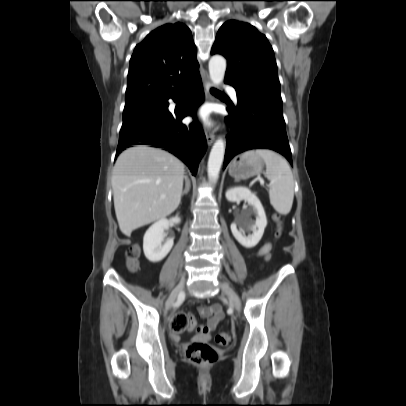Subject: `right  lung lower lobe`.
I'll use <instances>...</instances> for the list:
<instances>
[{"label": "right lung lower lobe", "mask_w": 406, "mask_h": 406, "mask_svg": "<svg viewBox=\"0 0 406 406\" xmlns=\"http://www.w3.org/2000/svg\"><path fill=\"white\" fill-rule=\"evenodd\" d=\"M185 90L189 92L187 101L180 111H168V99L176 100L181 90L166 98L167 111L155 123L120 133L117 155L133 145H151L162 148L191 167L196 175L198 163L206 150V138L194 113L203 102L204 91L200 76L192 80ZM193 116L194 121L183 125L181 120L186 116Z\"/></svg>", "instance_id": "right-lung-lower-lobe-1"}]
</instances>
